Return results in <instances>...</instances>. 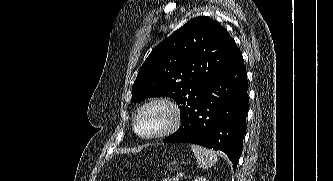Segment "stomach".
Here are the masks:
<instances>
[{
    "mask_svg": "<svg viewBox=\"0 0 333 181\" xmlns=\"http://www.w3.org/2000/svg\"><path fill=\"white\" fill-rule=\"evenodd\" d=\"M169 165H177V162L176 161H173V162H171Z\"/></svg>",
    "mask_w": 333,
    "mask_h": 181,
    "instance_id": "obj_1",
    "label": "stomach"
}]
</instances>
